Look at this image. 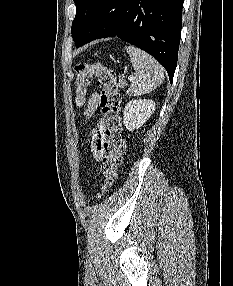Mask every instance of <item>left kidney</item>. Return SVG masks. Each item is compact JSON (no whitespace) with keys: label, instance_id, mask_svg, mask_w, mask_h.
Segmentation results:
<instances>
[{"label":"left kidney","instance_id":"obj_1","mask_svg":"<svg viewBox=\"0 0 233 286\" xmlns=\"http://www.w3.org/2000/svg\"><path fill=\"white\" fill-rule=\"evenodd\" d=\"M155 111L152 100L135 99L129 101L123 111V124L129 131L140 128Z\"/></svg>","mask_w":233,"mask_h":286}]
</instances>
